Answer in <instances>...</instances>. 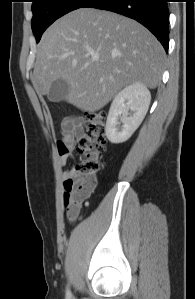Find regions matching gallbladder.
Returning a JSON list of instances; mask_svg holds the SVG:
<instances>
[{
    "label": "gallbladder",
    "mask_w": 195,
    "mask_h": 299,
    "mask_svg": "<svg viewBox=\"0 0 195 299\" xmlns=\"http://www.w3.org/2000/svg\"><path fill=\"white\" fill-rule=\"evenodd\" d=\"M69 89L70 86L67 81L63 79H58L52 83L50 91L47 94V97L51 102L54 103L61 102L68 94Z\"/></svg>",
    "instance_id": "gallbladder-1"
}]
</instances>
